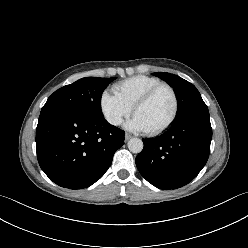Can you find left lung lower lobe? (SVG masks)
I'll return each mask as SVG.
<instances>
[{
	"mask_svg": "<svg viewBox=\"0 0 248 248\" xmlns=\"http://www.w3.org/2000/svg\"><path fill=\"white\" fill-rule=\"evenodd\" d=\"M212 139L208 108L173 123L164 134L142 139L136 157L141 175L160 189L180 188L192 181L206 164Z\"/></svg>",
	"mask_w": 248,
	"mask_h": 248,
	"instance_id": "left-lung-lower-lobe-1",
	"label": "left lung lower lobe"
}]
</instances>
